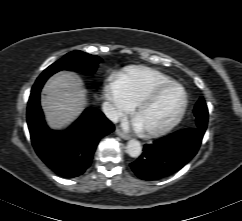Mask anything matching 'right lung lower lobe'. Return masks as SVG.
<instances>
[{
  "label": "right lung lower lobe",
  "mask_w": 242,
  "mask_h": 221,
  "mask_svg": "<svg viewBox=\"0 0 242 221\" xmlns=\"http://www.w3.org/2000/svg\"><path fill=\"white\" fill-rule=\"evenodd\" d=\"M41 88L32 89L27 107L33 147L55 173L65 178L77 177L91 165L99 140L113 132L114 125L101 111L88 108L68 130L49 129L39 102Z\"/></svg>",
  "instance_id": "98d812e1"
}]
</instances>
